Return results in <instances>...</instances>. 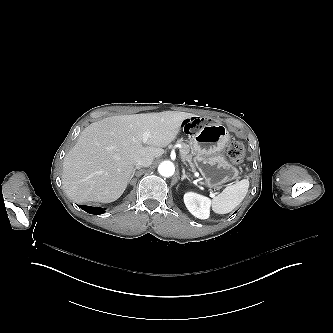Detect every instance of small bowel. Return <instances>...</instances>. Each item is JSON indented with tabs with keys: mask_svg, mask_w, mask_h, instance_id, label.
<instances>
[{
	"mask_svg": "<svg viewBox=\"0 0 333 333\" xmlns=\"http://www.w3.org/2000/svg\"><path fill=\"white\" fill-rule=\"evenodd\" d=\"M197 121H201L200 118H187L182 123V130L185 133H196L199 130V123Z\"/></svg>",
	"mask_w": 333,
	"mask_h": 333,
	"instance_id": "small-bowel-1",
	"label": "small bowel"
}]
</instances>
